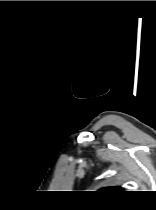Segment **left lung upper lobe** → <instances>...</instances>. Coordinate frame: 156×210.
<instances>
[{"label":"left lung upper lobe","mask_w":156,"mask_h":210,"mask_svg":"<svg viewBox=\"0 0 156 210\" xmlns=\"http://www.w3.org/2000/svg\"><path fill=\"white\" fill-rule=\"evenodd\" d=\"M101 191L119 192V191H122V189L120 187H108V188L102 189Z\"/></svg>","instance_id":"obj_1"}]
</instances>
